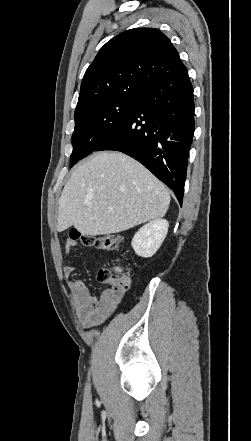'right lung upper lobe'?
Listing matches in <instances>:
<instances>
[{"mask_svg": "<svg viewBox=\"0 0 251 441\" xmlns=\"http://www.w3.org/2000/svg\"><path fill=\"white\" fill-rule=\"evenodd\" d=\"M184 68L177 50L161 31L127 30L108 41L86 70L75 113L105 98L142 95Z\"/></svg>", "mask_w": 251, "mask_h": 441, "instance_id": "obj_1", "label": "right lung upper lobe"}]
</instances>
